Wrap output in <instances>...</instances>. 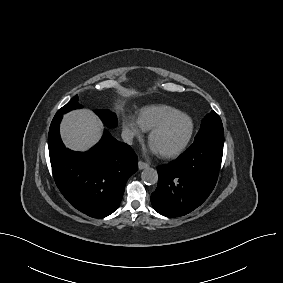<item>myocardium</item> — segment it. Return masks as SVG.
<instances>
[{
    "label": "myocardium",
    "mask_w": 283,
    "mask_h": 283,
    "mask_svg": "<svg viewBox=\"0 0 283 283\" xmlns=\"http://www.w3.org/2000/svg\"><path fill=\"white\" fill-rule=\"evenodd\" d=\"M178 117H183L186 118L189 122V130L188 133L186 135V137L184 138V140L175 148L169 150V151H165V152H160V156L163 158H173L176 157L178 155H180L188 146L189 142L192 139V136L194 134V130H195V124L194 121L192 119V117L190 115H188L187 113L184 112H175L173 114H170L166 117H164L163 119H161L158 123H156L149 132V141L151 142L153 136L160 131L166 124H168L171 120L178 118Z\"/></svg>",
    "instance_id": "obj_1"
}]
</instances>
